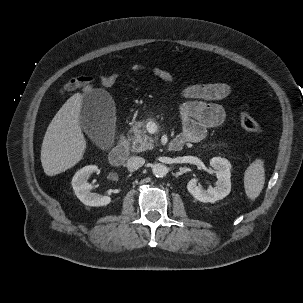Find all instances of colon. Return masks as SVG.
Instances as JSON below:
<instances>
[{"label": "colon", "instance_id": "1", "mask_svg": "<svg viewBox=\"0 0 303 303\" xmlns=\"http://www.w3.org/2000/svg\"><path fill=\"white\" fill-rule=\"evenodd\" d=\"M119 74L112 73L108 75H104L101 77V83L105 87L113 86L118 80ZM237 118L240 125L248 132L253 134H261L263 133V126L256 121L252 116H250L247 112L240 110L237 113Z\"/></svg>", "mask_w": 303, "mask_h": 303}]
</instances>
